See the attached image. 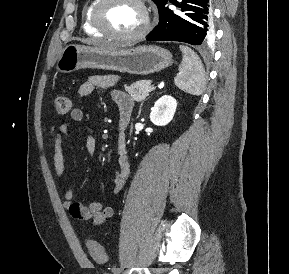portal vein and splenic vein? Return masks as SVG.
Here are the masks:
<instances>
[{
	"instance_id": "1",
	"label": "portal vein and splenic vein",
	"mask_w": 289,
	"mask_h": 274,
	"mask_svg": "<svg viewBox=\"0 0 289 274\" xmlns=\"http://www.w3.org/2000/svg\"><path fill=\"white\" fill-rule=\"evenodd\" d=\"M152 90H154V87L150 86L147 91H152Z\"/></svg>"
}]
</instances>
